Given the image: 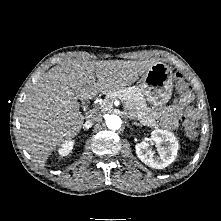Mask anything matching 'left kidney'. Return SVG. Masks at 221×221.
I'll return each mask as SVG.
<instances>
[{
	"instance_id": "5707ae66",
	"label": "left kidney",
	"mask_w": 221,
	"mask_h": 221,
	"mask_svg": "<svg viewBox=\"0 0 221 221\" xmlns=\"http://www.w3.org/2000/svg\"><path fill=\"white\" fill-rule=\"evenodd\" d=\"M151 139L160 147L159 155H154L146 140L136 144V154L144 164L163 169L176 159L179 149L178 141L172 132L161 129L152 131ZM162 144L165 146H161Z\"/></svg>"
}]
</instances>
